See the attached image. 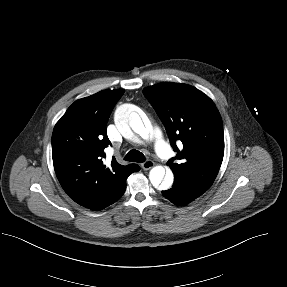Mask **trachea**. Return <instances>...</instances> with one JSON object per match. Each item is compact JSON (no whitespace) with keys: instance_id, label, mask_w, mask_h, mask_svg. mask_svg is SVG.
I'll list each match as a JSON object with an SVG mask.
<instances>
[{"instance_id":"trachea-1","label":"trachea","mask_w":287,"mask_h":287,"mask_svg":"<svg viewBox=\"0 0 287 287\" xmlns=\"http://www.w3.org/2000/svg\"><path fill=\"white\" fill-rule=\"evenodd\" d=\"M124 160L130 161V162L142 163L145 161V156L140 151L132 149L126 154Z\"/></svg>"}]
</instances>
